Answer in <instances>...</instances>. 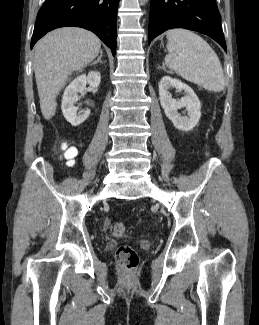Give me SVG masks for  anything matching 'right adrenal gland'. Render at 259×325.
I'll return each instance as SVG.
<instances>
[{
	"mask_svg": "<svg viewBox=\"0 0 259 325\" xmlns=\"http://www.w3.org/2000/svg\"><path fill=\"white\" fill-rule=\"evenodd\" d=\"M102 55H103V52H102V50H101V51H100V56L98 57V59H97L96 61H94L93 63H91L90 65L92 66V65H94V64H97L98 62L103 63L102 60H101Z\"/></svg>",
	"mask_w": 259,
	"mask_h": 325,
	"instance_id": "right-adrenal-gland-1",
	"label": "right adrenal gland"
}]
</instances>
